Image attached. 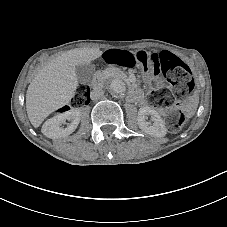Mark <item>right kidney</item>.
Masks as SVG:
<instances>
[{
    "mask_svg": "<svg viewBox=\"0 0 227 227\" xmlns=\"http://www.w3.org/2000/svg\"><path fill=\"white\" fill-rule=\"evenodd\" d=\"M80 116V111L74 108L60 113L43 124L42 132L48 138L70 135L77 128L80 122ZM67 120L70 124L64 128L62 124L66 123Z\"/></svg>",
    "mask_w": 227,
    "mask_h": 227,
    "instance_id": "obj_1",
    "label": "right kidney"
}]
</instances>
